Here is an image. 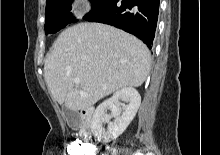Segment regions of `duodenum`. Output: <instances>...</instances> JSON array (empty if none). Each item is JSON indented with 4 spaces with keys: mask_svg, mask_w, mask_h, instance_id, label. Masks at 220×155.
<instances>
[{
    "mask_svg": "<svg viewBox=\"0 0 220 155\" xmlns=\"http://www.w3.org/2000/svg\"><path fill=\"white\" fill-rule=\"evenodd\" d=\"M94 110L92 108H85L80 111V118L82 125L80 128V137L87 140L91 137V119Z\"/></svg>",
    "mask_w": 220,
    "mask_h": 155,
    "instance_id": "duodenum-1",
    "label": "duodenum"
}]
</instances>
